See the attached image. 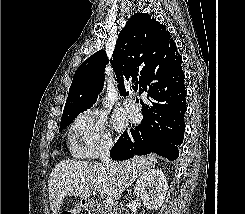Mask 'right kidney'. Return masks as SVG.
Wrapping results in <instances>:
<instances>
[{"label":"right kidney","instance_id":"ca27d5eb","mask_svg":"<svg viewBox=\"0 0 245 214\" xmlns=\"http://www.w3.org/2000/svg\"><path fill=\"white\" fill-rule=\"evenodd\" d=\"M168 184L164 173L159 169L143 172L134 187V194L139 197L146 208L157 210L164 202Z\"/></svg>","mask_w":245,"mask_h":214}]
</instances>
